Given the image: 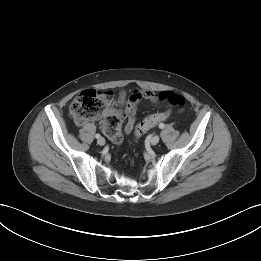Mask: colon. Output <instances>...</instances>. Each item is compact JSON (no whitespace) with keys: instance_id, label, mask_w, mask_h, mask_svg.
<instances>
[{"instance_id":"colon-1","label":"colon","mask_w":261,"mask_h":261,"mask_svg":"<svg viewBox=\"0 0 261 261\" xmlns=\"http://www.w3.org/2000/svg\"><path fill=\"white\" fill-rule=\"evenodd\" d=\"M114 100L113 93L110 91H97L87 89L76 96L70 105L69 114L76 124L82 125L87 121L94 119L99 115L101 110L112 105ZM159 100L167 102L172 108L182 111L185 107L184 98L173 92L162 93L159 95ZM169 111L152 114L144 118L136 126V136H141L157 123L168 118ZM121 118L112 116L107 118L103 123V130L106 137L110 138L112 143L122 142Z\"/></svg>"}]
</instances>
